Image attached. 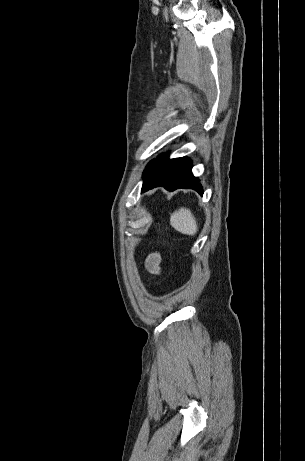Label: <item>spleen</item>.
I'll return each mask as SVG.
<instances>
[{
    "label": "spleen",
    "mask_w": 305,
    "mask_h": 461,
    "mask_svg": "<svg viewBox=\"0 0 305 461\" xmlns=\"http://www.w3.org/2000/svg\"><path fill=\"white\" fill-rule=\"evenodd\" d=\"M170 225L178 232L186 235H195L198 227L190 209L180 208L170 217Z\"/></svg>",
    "instance_id": "spleen-1"
}]
</instances>
